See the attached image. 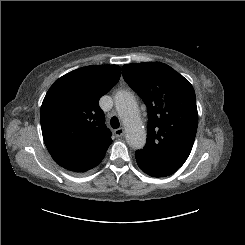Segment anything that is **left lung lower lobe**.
I'll use <instances>...</instances> for the list:
<instances>
[{"label":"left lung lower lobe","instance_id":"obj_1","mask_svg":"<svg viewBox=\"0 0 245 245\" xmlns=\"http://www.w3.org/2000/svg\"><path fill=\"white\" fill-rule=\"evenodd\" d=\"M138 166L148 175L153 177H165L175 173L178 168L170 165L169 163L158 161L151 162L144 157H141L135 153Z\"/></svg>","mask_w":245,"mask_h":245}]
</instances>
